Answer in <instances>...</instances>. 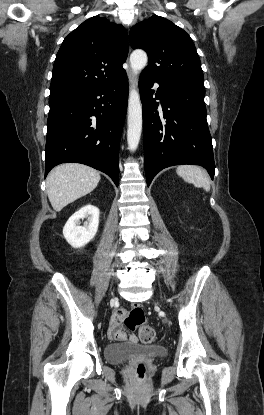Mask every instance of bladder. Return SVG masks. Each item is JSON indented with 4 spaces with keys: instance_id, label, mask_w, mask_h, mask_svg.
I'll return each instance as SVG.
<instances>
[{
    "instance_id": "1",
    "label": "bladder",
    "mask_w": 264,
    "mask_h": 415,
    "mask_svg": "<svg viewBox=\"0 0 264 415\" xmlns=\"http://www.w3.org/2000/svg\"><path fill=\"white\" fill-rule=\"evenodd\" d=\"M134 356L147 358H166L167 350L158 345H141L134 342L123 344H109L104 347V357L113 364H122Z\"/></svg>"
}]
</instances>
